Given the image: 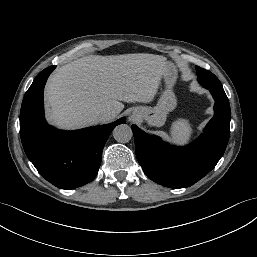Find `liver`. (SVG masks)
<instances>
[{
    "mask_svg": "<svg viewBox=\"0 0 257 257\" xmlns=\"http://www.w3.org/2000/svg\"><path fill=\"white\" fill-rule=\"evenodd\" d=\"M165 57L147 53L88 55L59 68L48 80V119L61 128L98 124L101 111L119 114L123 102L149 103L167 70Z\"/></svg>",
    "mask_w": 257,
    "mask_h": 257,
    "instance_id": "obj_1",
    "label": "liver"
}]
</instances>
